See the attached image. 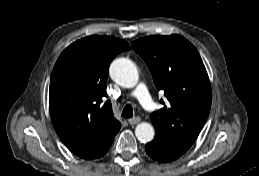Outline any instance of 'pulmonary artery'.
<instances>
[{
	"label": "pulmonary artery",
	"mask_w": 259,
	"mask_h": 176,
	"mask_svg": "<svg viewBox=\"0 0 259 176\" xmlns=\"http://www.w3.org/2000/svg\"><path fill=\"white\" fill-rule=\"evenodd\" d=\"M132 94L139 100L140 104L145 110L149 112L154 110L155 105L148 93L146 86L143 83H140Z\"/></svg>",
	"instance_id": "1"
}]
</instances>
